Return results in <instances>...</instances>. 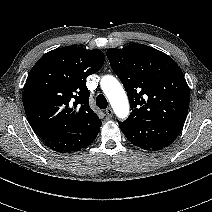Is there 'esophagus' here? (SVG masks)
I'll use <instances>...</instances> for the list:
<instances>
[{
    "label": "esophagus",
    "instance_id": "1",
    "mask_svg": "<svg viewBox=\"0 0 212 212\" xmlns=\"http://www.w3.org/2000/svg\"><path fill=\"white\" fill-rule=\"evenodd\" d=\"M106 114H107L108 117H112V115H113V110H112L110 107L107 108V109H106Z\"/></svg>",
    "mask_w": 212,
    "mask_h": 212
}]
</instances>
